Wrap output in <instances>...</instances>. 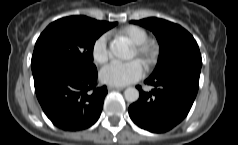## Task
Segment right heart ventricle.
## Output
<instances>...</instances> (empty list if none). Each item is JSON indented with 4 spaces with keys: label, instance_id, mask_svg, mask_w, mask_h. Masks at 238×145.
I'll list each match as a JSON object with an SVG mask.
<instances>
[{
    "label": "right heart ventricle",
    "instance_id": "obj_1",
    "mask_svg": "<svg viewBox=\"0 0 238 145\" xmlns=\"http://www.w3.org/2000/svg\"><path fill=\"white\" fill-rule=\"evenodd\" d=\"M118 36L127 39L133 45H139L146 40V32L137 26H127L121 29Z\"/></svg>",
    "mask_w": 238,
    "mask_h": 145
}]
</instances>
